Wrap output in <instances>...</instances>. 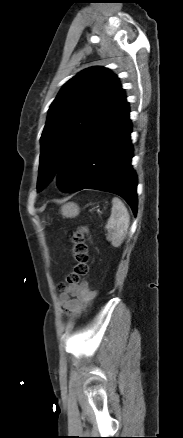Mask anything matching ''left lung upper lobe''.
<instances>
[{
  "instance_id": "left-lung-upper-lobe-1",
  "label": "left lung upper lobe",
  "mask_w": 183,
  "mask_h": 438,
  "mask_svg": "<svg viewBox=\"0 0 183 438\" xmlns=\"http://www.w3.org/2000/svg\"><path fill=\"white\" fill-rule=\"evenodd\" d=\"M125 102L118 78L102 67L85 69L62 87L41 136L38 191L57 175L71 152Z\"/></svg>"
}]
</instances>
